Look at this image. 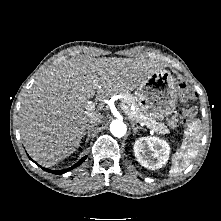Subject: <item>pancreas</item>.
<instances>
[{
  "label": "pancreas",
  "instance_id": "cf45deb5",
  "mask_svg": "<svg viewBox=\"0 0 221 221\" xmlns=\"http://www.w3.org/2000/svg\"><path fill=\"white\" fill-rule=\"evenodd\" d=\"M122 102H123V104H125L128 107L129 106L135 107L134 111L129 110V115H128L130 117V119H132L133 121L144 122L149 129H151L159 134H168L169 133V129L163 123L156 122L155 120H152V119L146 117L142 113L134 96L127 95L126 98L122 100Z\"/></svg>",
  "mask_w": 221,
  "mask_h": 221
}]
</instances>
